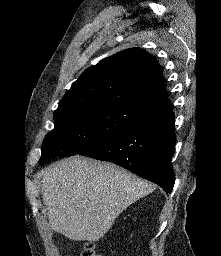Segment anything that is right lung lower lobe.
<instances>
[{
	"label": "right lung lower lobe",
	"mask_w": 221,
	"mask_h": 256,
	"mask_svg": "<svg viewBox=\"0 0 221 256\" xmlns=\"http://www.w3.org/2000/svg\"><path fill=\"white\" fill-rule=\"evenodd\" d=\"M175 142L171 110L121 129L79 154L115 163L171 193L175 182L171 165Z\"/></svg>",
	"instance_id": "98d812e1"
}]
</instances>
